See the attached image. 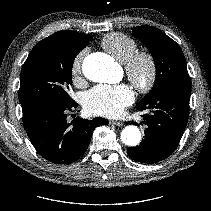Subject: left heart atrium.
<instances>
[{
  "label": "left heart atrium",
  "instance_id": "obj_1",
  "mask_svg": "<svg viewBox=\"0 0 211 211\" xmlns=\"http://www.w3.org/2000/svg\"><path fill=\"white\" fill-rule=\"evenodd\" d=\"M133 100V92L125 84L99 85L85 94L83 105L91 115L113 117L120 114Z\"/></svg>",
  "mask_w": 211,
  "mask_h": 211
}]
</instances>
